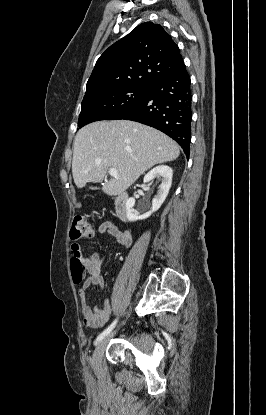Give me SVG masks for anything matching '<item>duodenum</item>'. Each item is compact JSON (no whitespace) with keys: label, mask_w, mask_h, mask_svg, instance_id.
Listing matches in <instances>:
<instances>
[{"label":"duodenum","mask_w":266,"mask_h":415,"mask_svg":"<svg viewBox=\"0 0 266 415\" xmlns=\"http://www.w3.org/2000/svg\"><path fill=\"white\" fill-rule=\"evenodd\" d=\"M127 200L128 195L126 192H119L115 197V213L122 221L127 219Z\"/></svg>","instance_id":"obj_1"}]
</instances>
